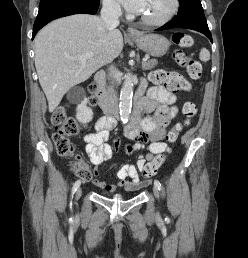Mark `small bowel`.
I'll return each instance as SVG.
<instances>
[{
	"mask_svg": "<svg viewBox=\"0 0 248 258\" xmlns=\"http://www.w3.org/2000/svg\"><path fill=\"white\" fill-rule=\"evenodd\" d=\"M174 73L180 77L178 73ZM174 103L175 95L161 86L151 88L147 96L140 99L133 119L125 127V135L135 145L134 151L147 149V152L138 155L136 165L125 164L117 171L116 176L119 180L117 185L95 180L96 187L113 192L117 187H122L127 191H135L147 185V183L140 181L139 172L144 170L145 166L157 156L165 152L167 144L163 140L170 121L177 114ZM145 112L151 113V115L143 117L142 114ZM115 124L113 119L101 117L95 123V132L84 136L86 153L93 165L101 166L111 157L112 150L107 141ZM95 174L98 175V172L96 171Z\"/></svg>",
	"mask_w": 248,
	"mask_h": 258,
	"instance_id": "obj_1",
	"label": "small bowel"
}]
</instances>
